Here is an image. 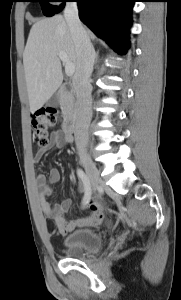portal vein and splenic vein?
Instances as JSON below:
<instances>
[{
    "mask_svg": "<svg viewBox=\"0 0 181 300\" xmlns=\"http://www.w3.org/2000/svg\"><path fill=\"white\" fill-rule=\"evenodd\" d=\"M58 56L60 58V60L63 62V64L65 65V73L67 76H72L75 72V66L73 65V63H71L67 57V54L65 52L60 51L58 53Z\"/></svg>",
    "mask_w": 181,
    "mask_h": 300,
    "instance_id": "18ae733b",
    "label": "portal vein and splenic vein"
}]
</instances>
